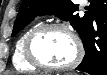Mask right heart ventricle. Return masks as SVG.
Listing matches in <instances>:
<instances>
[{
  "mask_svg": "<svg viewBox=\"0 0 107 75\" xmlns=\"http://www.w3.org/2000/svg\"><path fill=\"white\" fill-rule=\"evenodd\" d=\"M37 25H32L27 28L18 38L14 53H13V65L15 69L22 72H33L37 68L31 65L24 56V42L28 34L35 28Z\"/></svg>",
  "mask_w": 107,
  "mask_h": 75,
  "instance_id": "obj_1",
  "label": "right heart ventricle"
}]
</instances>
